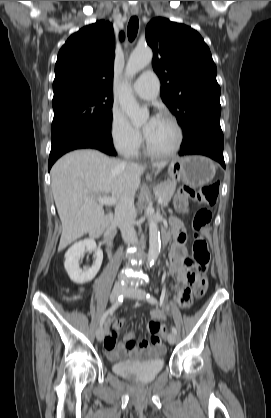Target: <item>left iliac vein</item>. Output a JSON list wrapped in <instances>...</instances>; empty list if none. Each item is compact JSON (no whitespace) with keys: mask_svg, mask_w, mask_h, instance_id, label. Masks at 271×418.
I'll list each match as a JSON object with an SVG mask.
<instances>
[{"mask_svg":"<svg viewBox=\"0 0 271 418\" xmlns=\"http://www.w3.org/2000/svg\"><path fill=\"white\" fill-rule=\"evenodd\" d=\"M124 294L126 295V297L131 299L144 300L145 298V292L141 289H137L134 287H126L124 289ZM167 340L169 344H174L176 342V335L173 333H169L167 336Z\"/></svg>","mask_w":271,"mask_h":418,"instance_id":"1","label":"left iliac vein"}]
</instances>
